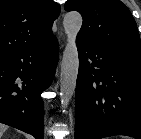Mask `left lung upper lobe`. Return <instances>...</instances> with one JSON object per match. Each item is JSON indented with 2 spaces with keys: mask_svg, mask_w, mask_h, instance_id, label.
<instances>
[{
  "mask_svg": "<svg viewBox=\"0 0 141 139\" xmlns=\"http://www.w3.org/2000/svg\"><path fill=\"white\" fill-rule=\"evenodd\" d=\"M64 8L81 13L83 24L79 37L110 49L141 56L136 22L120 0H68Z\"/></svg>",
  "mask_w": 141,
  "mask_h": 139,
  "instance_id": "1",
  "label": "left lung upper lobe"
}]
</instances>
